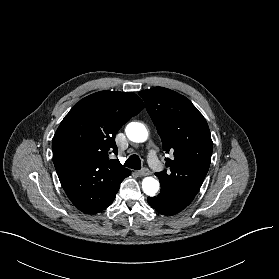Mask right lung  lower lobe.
<instances>
[{"label": "right lung lower lobe", "mask_w": 279, "mask_h": 279, "mask_svg": "<svg viewBox=\"0 0 279 279\" xmlns=\"http://www.w3.org/2000/svg\"><path fill=\"white\" fill-rule=\"evenodd\" d=\"M119 186H120V185H119ZM119 186L116 188V190L113 192L111 198L108 200V202L106 203V205H105L100 211L104 210L105 208H107L108 206H110V205L112 204V202H113V200H114V198H115V196H116V193H117L118 190H119ZM100 211H98V212H100ZM98 212H97V213H98Z\"/></svg>", "instance_id": "1"}]
</instances>
